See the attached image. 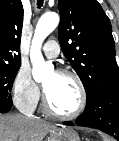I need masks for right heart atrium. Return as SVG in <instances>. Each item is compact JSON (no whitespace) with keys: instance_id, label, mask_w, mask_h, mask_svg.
<instances>
[{"instance_id":"d8ad5b80","label":"right heart atrium","mask_w":119,"mask_h":141,"mask_svg":"<svg viewBox=\"0 0 119 141\" xmlns=\"http://www.w3.org/2000/svg\"><path fill=\"white\" fill-rule=\"evenodd\" d=\"M12 98L15 105L24 113L32 112L40 100V91L28 70L21 68L12 84Z\"/></svg>"}]
</instances>
